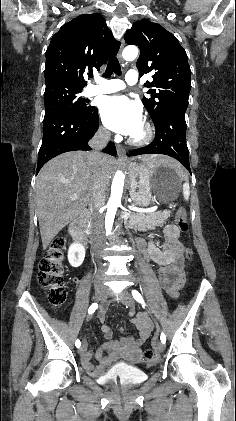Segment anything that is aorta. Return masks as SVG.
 <instances>
[{
	"label": "aorta",
	"instance_id": "1",
	"mask_svg": "<svg viewBox=\"0 0 236 421\" xmlns=\"http://www.w3.org/2000/svg\"><path fill=\"white\" fill-rule=\"evenodd\" d=\"M139 50L137 46H134V44H129V46H126L122 52L123 58L125 60H134L138 54ZM124 174L121 172V170H117L112 186H111V194L110 198L107 202V213L105 217V229L107 235H111L115 215L117 208L119 204H121V196L123 192V186H124Z\"/></svg>",
	"mask_w": 236,
	"mask_h": 421
}]
</instances>
